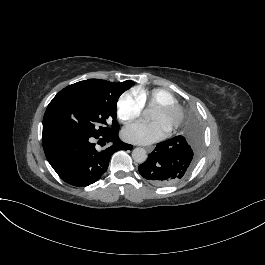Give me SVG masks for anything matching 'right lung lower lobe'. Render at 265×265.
Listing matches in <instances>:
<instances>
[{"label":"right lung lower lobe","instance_id":"1","mask_svg":"<svg viewBox=\"0 0 265 265\" xmlns=\"http://www.w3.org/2000/svg\"><path fill=\"white\" fill-rule=\"evenodd\" d=\"M95 139L103 145H112L101 152L95 149ZM46 158L65 182L74 186H88L103 175L111 156L118 150H132L122 142L118 130L101 136H63L43 142Z\"/></svg>","mask_w":265,"mask_h":265}]
</instances>
